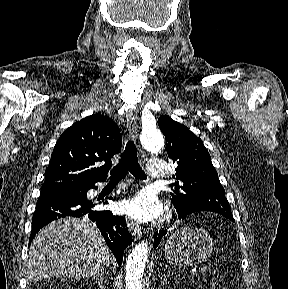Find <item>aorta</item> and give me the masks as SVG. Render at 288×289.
Wrapping results in <instances>:
<instances>
[{
  "mask_svg": "<svg viewBox=\"0 0 288 289\" xmlns=\"http://www.w3.org/2000/svg\"><path fill=\"white\" fill-rule=\"evenodd\" d=\"M142 145L151 153H158L164 146V139L156 126L145 128L141 136ZM147 241L139 242L126 261V289H142V277L148 258Z\"/></svg>",
  "mask_w": 288,
  "mask_h": 289,
  "instance_id": "obj_1",
  "label": "aorta"
}]
</instances>
